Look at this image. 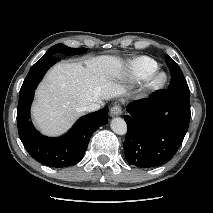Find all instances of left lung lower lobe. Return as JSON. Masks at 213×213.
<instances>
[{"label": "left lung lower lobe", "instance_id": "obj_1", "mask_svg": "<svg viewBox=\"0 0 213 213\" xmlns=\"http://www.w3.org/2000/svg\"><path fill=\"white\" fill-rule=\"evenodd\" d=\"M189 97L190 94L170 89L158 90L126 107L124 151L129 164L149 168L166 163L175 155L189 126Z\"/></svg>", "mask_w": 213, "mask_h": 213}]
</instances>
